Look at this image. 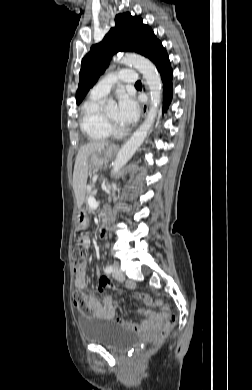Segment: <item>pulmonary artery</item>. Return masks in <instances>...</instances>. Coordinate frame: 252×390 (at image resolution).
I'll return each instance as SVG.
<instances>
[{
    "label": "pulmonary artery",
    "mask_w": 252,
    "mask_h": 390,
    "mask_svg": "<svg viewBox=\"0 0 252 390\" xmlns=\"http://www.w3.org/2000/svg\"><path fill=\"white\" fill-rule=\"evenodd\" d=\"M135 81H137V74L133 70L121 69L104 76L91 89V95L98 98H104L117 82L130 83Z\"/></svg>",
    "instance_id": "pulmonary-artery-1"
}]
</instances>
